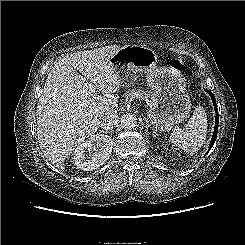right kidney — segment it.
<instances>
[{
    "instance_id": "right-kidney-1",
    "label": "right kidney",
    "mask_w": 245,
    "mask_h": 245,
    "mask_svg": "<svg viewBox=\"0 0 245 245\" xmlns=\"http://www.w3.org/2000/svg\"><path fill=\"white\" fill-rule=\"evenodd\" d=\"M112 146L113 140L110 136L93 135L76 147L73 162L81 170H95L109 159Z\"/></svg>"
}]
</instances>
